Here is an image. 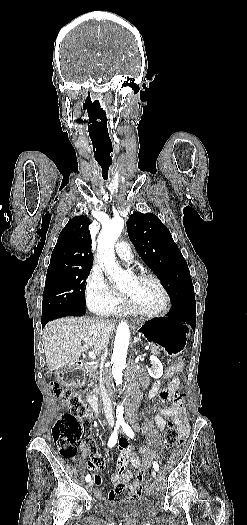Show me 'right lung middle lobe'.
I'll list each match as a JSON object with an SVG mask.
<instances>
[{
    "mask_svg": "<svg viewBox=\"0 0 247 525\" xmlns=\"http://www.w3.org/2000/svg\"><path fill=\"white\" fill-rule=\"evenodd\" d=\"M91 269L47 271L42 302V320H51L67 313L64 310L84 309V286Z\"/></svg>",
    "mask_w": 247,
    "mask_h": 525,
    "instance_id": "right-lung-middle-lobe-1",
    "label": "right lung middle lobe"
}]
</instances>
